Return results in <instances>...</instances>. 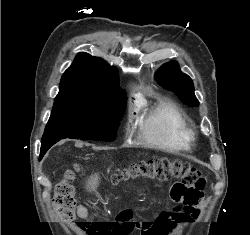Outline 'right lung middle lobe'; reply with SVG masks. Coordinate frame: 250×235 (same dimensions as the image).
Returning a JSON list of instances; mask_svg holds the SVG:
<instances>
[{
  "instance_id": "dd1d6c3e",
  "label": "right lung middle lobe",
  "mask_w": 250,
  "mask_h": 235,
  "mask_svg": "<svg viewBox=\"0 0 250 235\" xmlns=\"http://www.w3.org/2000/svg\"><path fill=\"white\" fill-rule=\"evenodd\" d=\"M125 105V94L55 99L41 142L64 138L112 142Z\"/></svg>"
}]
</instances>
